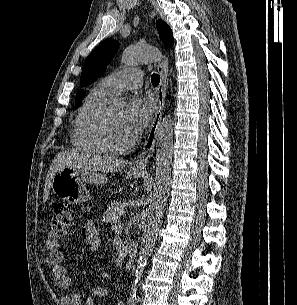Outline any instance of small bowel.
Here are the masks:
<instances>
[{"label": "small bowel", "instance_id": "1", "mask_svg": "<svg viewBox=\"0 0 297 305\" xmlns=\"http://www.w3.org/2000/svg\"><path fill=\"white\" fill-rule=\"evenodd\" d=\"M81 235L85 242L95 251L102 248V240L98 234L95 224L87 222L81 229ZM45 246L48 250L47 264L56 285L64 290L72 286V279L64 265V253L60 250L59 235L53 231L48 233ZM109 291L104 287H94L82 298L75 292H68L62 297L63 305H94L95 297H110ZM116 305H124L122 301L115 300Z\"/></svg>", "mask_w": 297, "mask_h": 305}]
</instances>
